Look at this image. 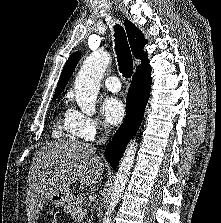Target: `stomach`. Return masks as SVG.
<instances>
[{"mask_svg": "<svg viewBox=\"0 0 221 223\" xmlns=\"http://www.w3.org/2000/svg\"><path fill=\"white\" fill-rule=\"evenodd\" d=\"M71 196H72V193L70 189L67 187L53 193L47 199V202H49L55 207H61L67 203V201L71 198Z\"/></svg>", "mask_w": 221, "mask_h": 223, "instance_id": "1", "label": "stomach"}]
</instances>
